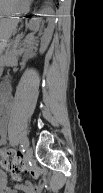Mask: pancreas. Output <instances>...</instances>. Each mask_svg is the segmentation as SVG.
<instances>
[{"mask_svg":"<svg viewBox=\"0 0 103 193\" xmlns=\"http://www.w3.org/2000/svg\"><path fill=\"white\" fill-rule=\"evenodd\" d=\"M10 24L11 26H13V21H11ZM18 42H19L18 37L10 42L9 48L7 49V52L4 54L3 58L11 57L12 55L15 54Z\"/></svg>","mask_w":103,"mask_h":193,"instance_id":"cf45deb5","label":"pancreas"}]
</instances>
